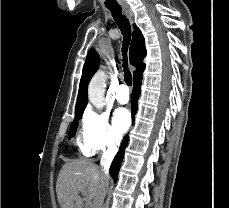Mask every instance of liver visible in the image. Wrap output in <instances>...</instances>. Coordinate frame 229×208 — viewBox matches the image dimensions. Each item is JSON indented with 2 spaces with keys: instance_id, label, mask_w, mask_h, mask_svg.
<instances>
[{
  "instance_id": "1",
  "label": "liver",
  "mask_w": 229,
  "mask_h": 208,
  "mask_svg": "<svg viewBox=\"0 0 229 208\" xmlns=\"http://www.w3.org/2000/svg\"><path fill=\"white\" fill-rule=\"evenodd\" d=\"M106 184L108 180H102L98 166L90 160L67 162L59 172L56 186L60 208H83L79 192L86 196L90 208H101Z\"/></svg>"
}]
</instances>
